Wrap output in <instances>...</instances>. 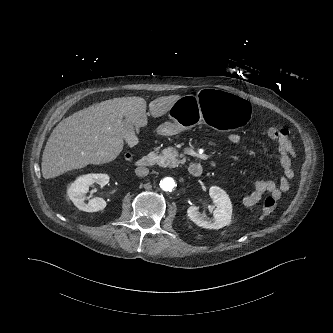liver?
<instances>
[{
  "mask_svg": "<svg viewBox=\"0 0 333 333\" xmlns=\"http://www.w3.org/2000/svg\"><path fill=\"white\" fill-rule=\"evenodd\" d=\"M179 95L159 97L149 104L153 117L166 114ZM146 101L121 97L102 101L62 120L52 131L42 155V175L57 177L90 164L115 160L123 150L122 120L137 128L147 125Z\"/></svg>",
  "mask_w": 333,
  "mask_h": 333,
  "instance_id": "obj_1",
  "label": "liver"
}]
</instances>
